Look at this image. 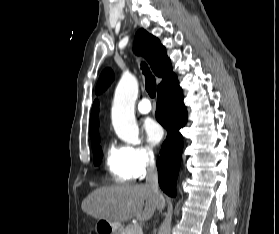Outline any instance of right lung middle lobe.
Listing matches in <instances>:
<instances>
[{
  "label": "right lung middle lobe",
  "mask_w": 279,
  "mask_h": 234,
  "mask_svg": "<svg viewBox=\"0 0 279 234\" xmlns=\"http://www.w3.org/2000/svg\"><path fill=\"white\" fill-rule=\"evenodd\" d=\"M99 139L92 145L93 155H94V165H99L102 158V150L98 145Z\"/></svg>",
  "instance_id": "obj_1"
}]
</instances>
